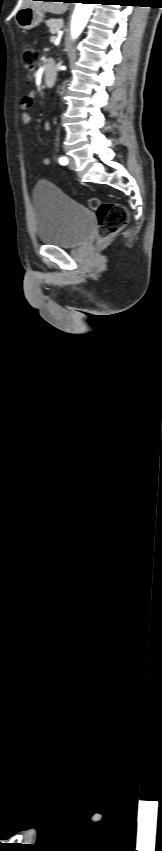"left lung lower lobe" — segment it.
I'll list each match as a JSON object with an SVG mask.
<instances>
[{"mask_svg": "<svg viewBox=\"0 0 162 851\" xmlns=\"http://www.w3.org/2000/svg\"><path fill=\"white\" fill-rule=\"evenodd\" d=\"M87 1H89V2H91V3H94V2H95V1H97V0H87Z\"/></svg>", "mask_w": 162, "mask_h": 851, "instance_id": "left-lung-lower-lobe-1", "label": "left lung lower lobe"}]
</instances>
